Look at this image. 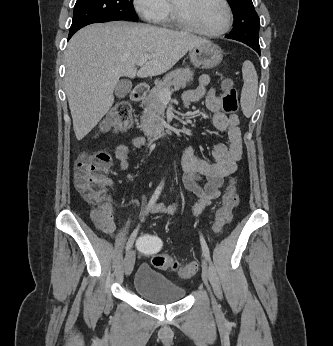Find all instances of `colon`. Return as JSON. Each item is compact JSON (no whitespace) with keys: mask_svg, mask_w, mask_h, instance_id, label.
<instances>
[{"mask_svg":"<svg viewBox=\"0 0 333 346\" xmlns=\"http://www.w3.org/2000/svg\"><path fill=\"white\" fill-rule=\"evenodd\" d=\"M221 103L223 110L234 114L238 110V94L231 80L223 82ZM131 107L121 102L113 107L106 116L101 128L104 132L113 133L128 130L132 125ZM112 159L105 151L83 153L75 164V184L78 192L85 201L91 204H102L106 200L108 180L106 174L111 167ZM239 196L236 182L231 180L222 197V205L215 213L213 229L220 232L232 219L233 209L238 205ZM136 246L141 256H153L152 264L162 270H175L182 278H191L198 270L196 262L180 265L178 261L166 254H157L163 251L164 245L160 243V233L136 235ZM157 254V255H156Z\"/></svg>","mask_w":333,"mask_h":346,"instance_id":"5ec220e1","label":"colon"}]
</instances>
